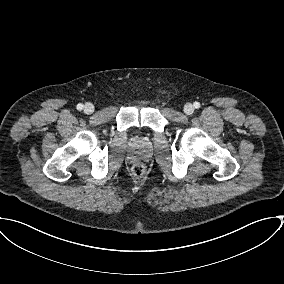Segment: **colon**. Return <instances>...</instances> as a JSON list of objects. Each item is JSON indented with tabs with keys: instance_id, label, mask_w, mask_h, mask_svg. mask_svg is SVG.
Listing matches in <instances>:
<instances>
[{
	"instance_id": "5ec220e1",
	"label": "colon",
	"mask_w": 284,
	"mask_h": 284,
	"mask_svg": "<svg viewBox=\"0 0 284 284\" xmlns=\"http://www.w3.org/2000/svg\"><path fill=\"white\" fill-rule=\"evenodd\" d=\"M132 173L136 177H143L146 173V167L142 163H135L132 167Z\"/></svg>"
}]
</instances>
